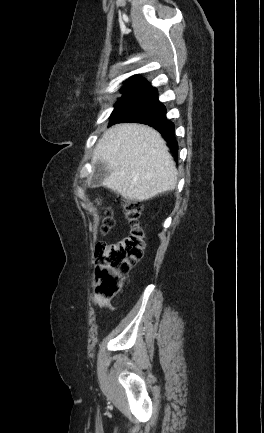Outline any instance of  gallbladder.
<instances>
[{"instance_id": "obj_1", "label": "gallbladder", "mask_w": 264, "mask_h": 433, "mask_svg": "<svg viewBox=\"0 0 264 433\" xmlns=\"http://www.w3.org/2000/svg\"><path fill=\"white\" fill-rule=\"evenodd\" d=\"M109 176L108 165L105 162L97 161L93 165L92 173L88 178L87 186L89 188H97L102 186L106 177Z\"/></svg>"}]
</instances>
